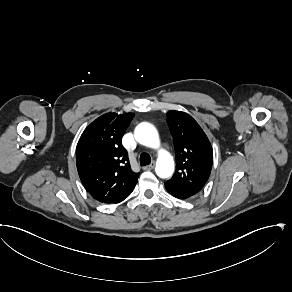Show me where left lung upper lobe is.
Segmentation results:
<instances>
[{"instance_id":"left-lung-upper-lobe-1","label":"left lung upper lobe","mask_w":292,"mask_h":292,"mask_svg":"<svg viewBox=\"0 0 292 292\" xmlns=\"http://www.w3.org/2000/svg\"><path fill=\"white\" fill-rule=\"evenodd\" d=\"M167 124L173 137L176 171L165 184L198 193L206 184L213 164V149L199 124L189 114L167 113Z\"/></svg>"}]
</instances>
